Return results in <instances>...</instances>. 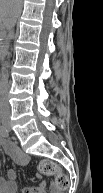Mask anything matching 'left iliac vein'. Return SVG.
<instances>
[{
	"label": "left iliac vein",
	"mask_w": 103,
	"mask_h": 193,
	"mask_svg": "<svg viewBox=\"0 0 103 193\" xmlns=\"http://www.w3.org/2000/svg\"><path fill=\"white\" fill-rule=\"evenodd\" d=\"M7 129H8V131H10V126L9 125H7Z\"/></svg>",
	"instance_id": "left-iliac-vein-1"
}]
</instances>
